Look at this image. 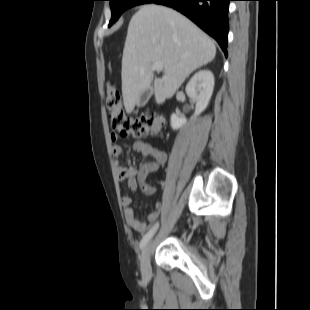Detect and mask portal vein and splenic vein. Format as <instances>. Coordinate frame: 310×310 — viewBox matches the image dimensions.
Instances as JSON below:
<instances>
[{
    "instance_id": "portal-vein-and-splenic-vein-1",
    "label": "portal vein and splenic vein",
    "mask_w": 310,
    "mask_h": 310,
    "mask_svg": "<svg viewBox=\"0 0 310 310\" xmlns=\"http://www.w3.org/2000/svg\"><path fill=\"white\" fill-rule=\"evenodd\" d=\"M152 69H153L154 71H157V72L162 71V70H163V63H162V62L154 63V64L152 65Z\"/></svg>"
}]
</instances>
